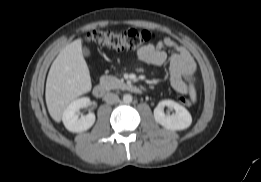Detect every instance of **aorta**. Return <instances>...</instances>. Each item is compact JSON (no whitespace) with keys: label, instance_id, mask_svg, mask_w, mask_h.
Listing matches in <instances>:
<instances>
[{"label":"aorta","instance_id":"762f6f07","mask_svg":"<svg viewBox=\"0 0 261 182\" xmlns=\"http://www.w3.org/2000/svg\"><path fill=\"white\" fill-rule=\"evenodd\" d=\"M132 99H133V97H132L131 94H125V95L123 96V102L126 103V104L131 103V102H132Z\"/></svg>","mask_w":261,"mask_h":182}]
</instances>
